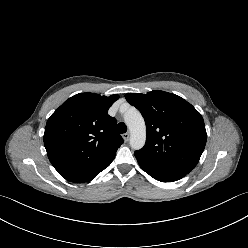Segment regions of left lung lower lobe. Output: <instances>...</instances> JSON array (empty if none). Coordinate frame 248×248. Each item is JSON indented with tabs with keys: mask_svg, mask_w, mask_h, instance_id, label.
<instances>
[{
	"mask_svg": "<svg viewBox=\"0 0 248 248\" xmlns=\"http://www.w3.org/2000/svg\"><path fill=\"white\" fill-rule=\"evenodd\" d=\"M141 168L154 179L161 182H172L183 178L186 173L161 169L138 162Z\"/></svg>",
	"mask_w": 248,
	"mask_h": 248,
	"instance_id": "0a47b994",
	"label": "left lung lower lobe"
}]
</instances>
